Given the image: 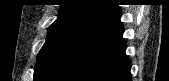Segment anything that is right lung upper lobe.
<instances>
[{
    "instance_id": "right-lung-upper-lobe-1",
    "label": "right lung upper lobe",
    "mask_w": 169,
    "mask_h": 81,
    "mask_svg": "<svg viewBox=\"0 0 169 81\" xmlns=\"http://www.w3.org/2000/svg\"><path fill=\"white\" fill-rule=\"evenodd\" d=\"M109 0H67L61 5L58 19L79 18L91 22L106 14H109L119 7L111 4Z\"/></svg>"
}]
</instances>
